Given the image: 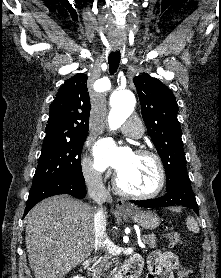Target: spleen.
I'll use <instances>...</instances> for the list:
<instances>
[{"label":"spleen","instance_id":"3e777b00","mask_svg":"<svg viewBox=\"0 0 221 278\" xmlns=\"http://www.w3.org/2000/svg\"><path fill=\"white\" fill-rule=\"evenodd\" d=\"M186 225H187V228L190 231H192L193 233H198L199 232L198 223L196 222V220L193 217H191V216L187 217Z\"/></svg>","mask_w":221,"mask_h":278}]
</instances>
